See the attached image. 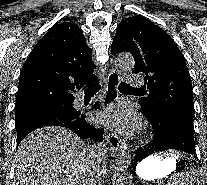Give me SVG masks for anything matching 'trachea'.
Listing matches in <instances>:
<instances>
[{
	"mask_svg": "<svg viewBox=\"0 0 207 185\" xmlns=\"http://www.w3.org/2000/svg\"><path fill=\"white\" fill-rule=\"evenodd\" d=\"M99 89H100L99 85L92 84V85H89L88 88H86L85 93L95 94L96 92H98ZM119 90H138V89L131 87L130 85H128V83L121 82L119 86Z\"/></svg>",
	"mask_w": 207,
	"mask_h": 185,
	"instance_id": "obj_1",
	"label": "trachea"
}]
</instances>
